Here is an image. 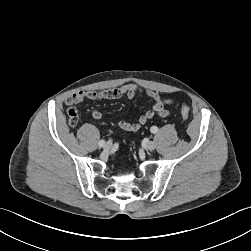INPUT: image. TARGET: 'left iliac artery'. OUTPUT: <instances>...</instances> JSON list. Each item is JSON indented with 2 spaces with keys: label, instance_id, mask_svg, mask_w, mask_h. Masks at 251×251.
Masks as SVG:
<instances>
[{
  "label": "left iliac artery",
  "instance_id": "44dca946",
  "mask_svg": "<svg viewBox=\"0 0 251 251\" xmlns=\"http://www.w3.org/2000/svg\"><path fill=\"white\" fill-rule=\"evenodd\" d=\"M150 131H151L153 134H155V133L158 132V128H157L156 126H152L151 129H150Z\"/></svg>",
  "mask_w": 251,
  "mask_h": 251
}]
</instances>
